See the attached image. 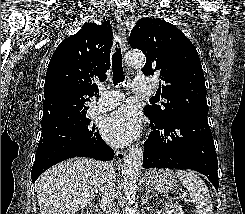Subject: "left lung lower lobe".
<instances>
[{"label": "left lung lower lobe", "instance_id": "1", "mask_svg": "<svg viewBox=\"0 0 245 214\" xmlns=\"http://www.w3.org/2000/svg\"><path fill=\"white\" fill-rule=\"evenodd\" d=\"M148 117L151 133L143 168L192 169L207 176L218 190L217 155L207 114L191 113L165 124Z\"/></svg>", "mask_w": 245, "mask_h": 214}]
</instances>
